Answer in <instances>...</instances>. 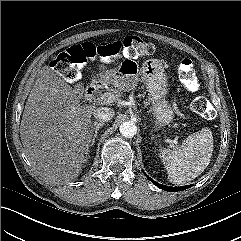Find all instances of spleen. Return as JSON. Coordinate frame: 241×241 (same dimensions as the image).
Masks as SVG:
<instances>
[{"label": "spleen", "instance_id": "obj_1", "mask_svg": "<svg viewBox=\"0 0 241 241\" xmlns=\"http://www.w3.org/2000/svg\"><path fill=\"white\" fill-rule=\"evenodd\" d=\"M213 136L209 128L189 135L180 148L162 149L160 157L173 184H184L199 176L209 165Z\"/></svg>", "mask_w": 241, "mask_h": 241}]
</instances>
